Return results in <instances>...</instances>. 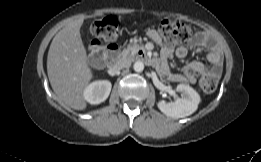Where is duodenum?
I'll use <instances>...</instances> for the list:
<instances>
[{
    "label": "duodenum",
    "instance_id": "1",
    "mask_svg": "<svg viewBox=\"0 0 261 162\" xmlns=\"http://www.w3.org/2000/svg\"><path fill=\"white\" fill-rule=\"evenodd\" d=\"M108 59L110 62L111 70L115 71L116 70V63L121 60L120 52L118 50V47L115 44H111L108 46L106 49V56L105 59ZM145 62L152 65L153 67L160 68L164 66V63H160L159 60H152L147 57H143Z\"/></svg>",
    "mask_w": 261,
    "mask_h": 162
}]
</instances>
